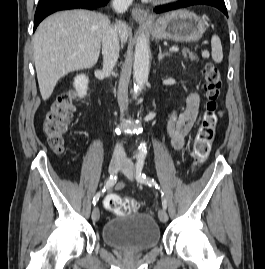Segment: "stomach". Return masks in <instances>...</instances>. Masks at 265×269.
I'll list each match as a JSON object with an SVG mask.
<instances>
[{
  "instance_id": "0dacf381",
  "label": "stomach",
  "mask_w": 265,
  "mask_h": 269,
  "mask_svg": "<svg viewBox=\"0 0 265 269\" xmlns=\"http://www.w3.org/2000/svg\"><path fill=\"white\" fill-rule=\"evenodd\" d=\"M151 29L158 39L195 42L205 33L207 23L195 13L181 9L158 17L152 23Z\"/></svg>"
}]
</instances>
